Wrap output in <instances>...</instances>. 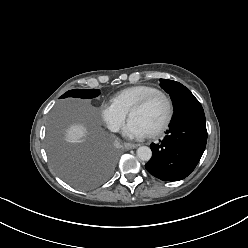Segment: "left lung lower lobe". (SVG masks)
<instances>
[{
  "mask_svg": "<svg viewBox=\"0 0 248 248\" xmlns=\"http://www.w3.org/2000/svg\"><path fill=\"white\" fill-rule=\"evenodd\" d=\"M207 142L203 108L190 95L174 110L167 135L159 144L152 143V158L145 168L164 181L187 177L198 164Z\"/></svg>",
  "mask_w": 248,
  "mask_h": 248,
  "instance_id": "obj_1",
  "label": "left lung lower lobe"
}]
</instances>
